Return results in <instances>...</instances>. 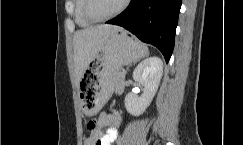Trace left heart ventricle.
Masks as SVG:
<instances>
[{"label": "left heart ventricle", "instance_id": "1", "mask_svg": "<svg viewBox=\"0 0 243 145\" xmlns=\"http://www.w3.org/2000/svg\"><path fill=\"white\" fill-rule=\"evenodd\" d=\"M124 0H92L91 10L96 17H105L116 11Z\"/></svg>", "mask_w": 243, "mask_h": 145}]
</instances>
